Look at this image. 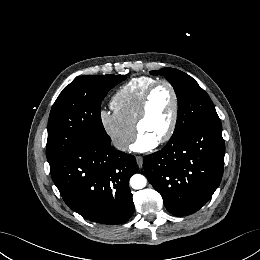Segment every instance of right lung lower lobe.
I'll return each instance as SVG.
<instances>
[{
  "label": "right lung lower lobe",
  "mask_w": 260,
  "mask_h": 260,
  "mask_svg": "<svg viewBox=\"0 0 260 260\" xmlns=\"http://www.w3.org/2000/svg\"><path fill=\"white\" fill-rule=\"evenodd\" d=\"M52 179L65 203L85 219L121 224L133 214L129 179L135 157L97 144L75 146L50 164Z\"/></svg>",
  "instance_id": "98d812e1"
}]
</instances>
